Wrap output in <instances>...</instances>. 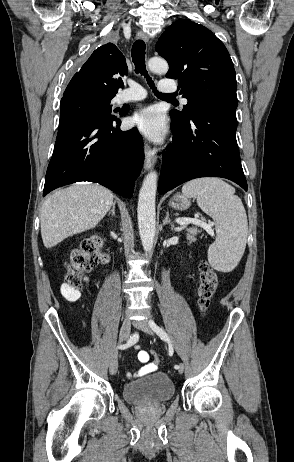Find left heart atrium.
<instances>
[{"label":"left heart atrium","mask_w":294,"mask_h":462,"mask_svg":"<svg viewBox=\"0 0 294 462\" xmlns=\"http://www.w3.org/2000/svg\"><path fill=\"white\" fill-rule=\"evenodd\" d=\"M130 124L141 134L153 141H160L166 133V127L160 112L155 107H148L136 113Z\"/></svg>","instance_id":"left-heart-atrium-1"}]
</instances>
